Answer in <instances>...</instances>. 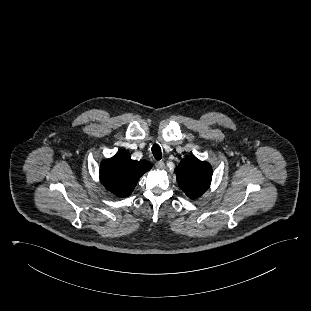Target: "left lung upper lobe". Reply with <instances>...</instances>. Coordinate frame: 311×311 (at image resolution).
<instances>
[{"label": "left lung upper lobe", "instance_id": "1", "mask_svg": "<svg viewBox=\"0 0 311 311\" xmlns=\"http://www.w3.org/2000/svg\"><path fill=\"white\" fill-rule=\"evenodd\" d=\"M174 171L180 188L191 199L200 197L209 188L212 168L194 155L182 159Z\"/></svg>", "mask_w": 311, "mask_h": 311}]
</instances>
